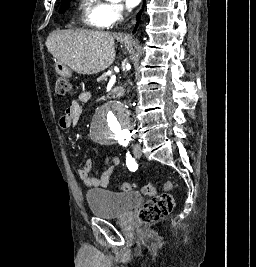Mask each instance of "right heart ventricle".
<instances>
[{
	"mask_svg": "<svg viewBox=\"0 0 256 267\" xmlns=\"http://www.w3.org/2000/svg\"><path fill=\"white\" fill-rule=\"evenodd\" d=\"M98 7L90 6L91 15H90L89 22L91 24L95 25V26H98L97 25V20H98ZM66 28H72V27H66Z\"/></svg>",
	"mask_w": 256,
	"mask_h": 267,
	"instance_id": "right-heart-ventricle-1",
	"label": "right heart ventricle"
}]
</instances>
